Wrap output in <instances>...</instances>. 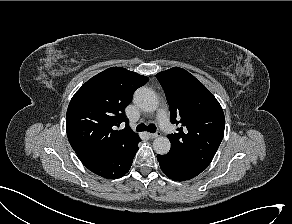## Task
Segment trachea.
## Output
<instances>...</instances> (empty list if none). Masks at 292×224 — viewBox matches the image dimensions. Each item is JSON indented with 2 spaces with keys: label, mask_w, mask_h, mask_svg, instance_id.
<instances>
[{
  "label": "trachea",
  "mask_w": 292,
  "mask_h": 224,
  "mask_svg": "<svg viewBox=\"0 0 292 224\" xmlns=\"http://www.w3.org/2000/svg\"><path fill=\"white\" fill-rule=\"evenodd\" d=\"M136 130L138 132H142V131H148V132H151V133H155L156 132V126L154 124H150L148 126L144 125V124H139L137 127H136Z\"/></svg>",
  "instance_id": "obj_1"
}]
</instances>
